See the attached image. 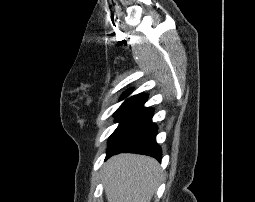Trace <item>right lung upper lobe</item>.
Segmentation results:
<instances>
[{
  "label": "right lung upper lobe",
  "mask_w": 255,
  "mask_h": 202,
  "mask_svg": "<svg viewBox=\"0 0 255 202\" xmlns=\"http://www.w3.org/2000/svg\"><path fill=\"white\" fill-rule=\"evenodd\" d=\"M129 95V92H126L122 98H125ZM147 100L146 94H138L132 96L125 100V102L117 109L115 114L121 113H131V114H138L143 110L147 109L144 108L143 105Z\"/></svg>",
  "instance_id": "cb5924a9"
}]
</instances>
